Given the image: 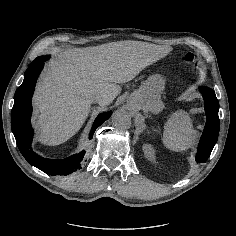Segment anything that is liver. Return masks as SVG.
Returning <instances> with one entry per match:
<instances>
[{
  "label": "liver",
  "mask_w": 236,
  "mask_h": 236,
  "mask_svg": "<svg viewBox=\"0 0 236 236\" xmlns=\"http://www.w3.org/2000/svg\"><path fill=\"white\" fill-rule=\"evenodd\" d=\"M170 50L119 41L60 52L48 62L33 96L36 140L49 146L66 142L85 122L96 96L109 97V105L121 92L119 84L135 78L149 57L163 58Z\"/></svg>",
  "instance_id": "6515ba94"
}]
</instances>
